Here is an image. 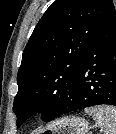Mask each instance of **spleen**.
<instances>
[{
    "label": "spleen",
    "mask_w": 116,
    "mask_h": 134,
    "mask_svg": "<svg viewBox=\"0 0 116 134\" xmlns=\"http://www.w3.org/2000/svg\"><path fill=\"white\" fill-rule=\"evenodd\" d=\"M95 123L104 131V134H116V108L111 106H96L86 108Z\"/></svg>",
    "instance_id": "1"
}]
</instances>
